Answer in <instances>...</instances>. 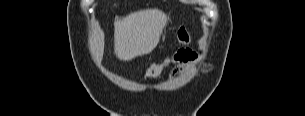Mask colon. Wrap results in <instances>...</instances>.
Masks as SVG:
<instances>
[{"label":"colon","mask_w":305,"mask_h":116,"mask_svg":"<svg viewBox=\"0 0 305 116\" xmlns=\"http://www.w3.org/2000/svg\"><path fill=\"white\" fill-rule=\"evenodd\" d=\"M190 41L191 35L188 29L185 26H180L176 31L177 48L172 56L174 60L182 58L185 55L186 49H184L183 46L188 45ZM167 63L168 61H164L150 66L146 72L145 78L148 80L157 78L162 73Z\"/></svg>","instance_id":"5ec220e1"}]
</instances>
